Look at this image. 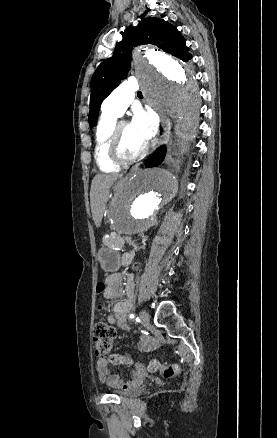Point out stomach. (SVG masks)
I'll return each instance as SVG.
<instances>
[{"label": "stomach", "mask_w": 277, "mask_h": 438, "mask_svg": "<svg viewBox=\"0 0 277 438\" xmlns=\"http://www.w3.org/2000/svg\"><path fill=\"white\" fill-rule=\"evenodd\" d=\"M97 259L101 268L106 272L116 271L119 267V253L111 248H101Z\"/></svg>", "instance_id": "stomach-1"}]
</instances>
